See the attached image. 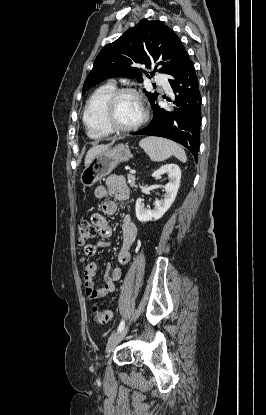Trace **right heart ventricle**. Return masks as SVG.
I'll list each match as a JSON object with an SVG mask.
<instances>
[{"instance_id":"right-heart-ventricle-1","label":"right heart ventricle","mask_w":266,"mask_h":415,"mask_svg":"<svg viewBox=\"0 0 266 415\" xmlns=\"http://www.w3.org/2000/svg\"><path fill=\"white\" fill-rule=\"evenodd\" d=\"M114 84H105L95 90L90 96L83 113V122L87 135L100 140L112 134V129L104 119V107L107 99L115 90Z\"/></svg>"}]
</instances>
